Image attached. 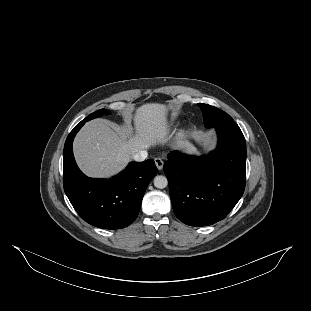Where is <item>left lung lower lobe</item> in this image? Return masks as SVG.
<instances>
[{"instance_id":"left-lung-lower-lobe-1","label":"left lung lower lobe","mask_w":311,"mask_h":311,"mask_svg":"<svg viewBox=\"0 0 311 311\" xmlns=\"http://www.w3.org/2000/svg\"><path fill=\"white\" fill-rule=\"evenodd\" d=\"M215 129V151L202 157L172 151L163 167L174 213L190 226H208L225 218L245 189L244 135L237 124Z\"/></svg>"}]
</instances>
